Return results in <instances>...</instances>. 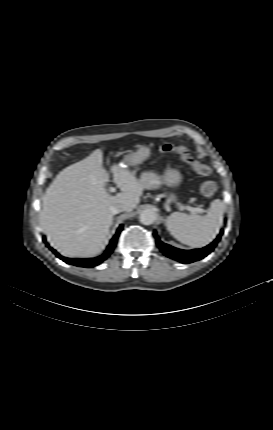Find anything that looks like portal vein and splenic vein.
<instances>
[{"label":"portal vein and splenic vein","mask_w":273,"mask_h":430,"mask_svg":"<svg viewBox=\"0 0 273 430\" xmlns=\"http://www.w3.org/2000/svg\"><path fill=\"white\" fill-rule=\"evenodd\" d=\"M109 191L110 192H115V188L114 187H111L110 189H109ZM186 210H188L190 213H203L204 212V209H202V208H195V207H190V206H185L184 207Z\"/></svg>","instance_id":"1"}]
</instances>
